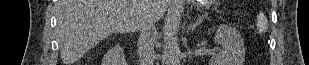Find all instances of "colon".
<instances>
[{"label":"colon","mask_w":309,"mask_h":65,"mask_svg":"<svg viewBox=\"0 0 309 65\" xmlns=\"http://www.w3.org/2000/svg\"><path fill=\"white\" fill-rule=\"evenodd\" d=\"M257 29L260 33H264L267 29V18L264 14H259L257 17Z\"/></svg>","instance_id":"1"}]
</instances>
